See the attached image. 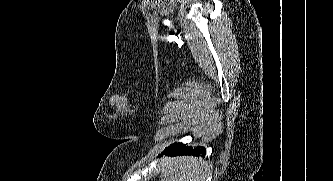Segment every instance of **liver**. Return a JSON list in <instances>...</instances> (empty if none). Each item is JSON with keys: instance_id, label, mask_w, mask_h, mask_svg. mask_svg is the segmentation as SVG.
<instances>
[{"instance_id": "1", "label": "liver", "mask_w": 333, "mask_h": 181, "mask_svg": "<svg viewBox=\"0 0 333 181\" xmlns=\"http://www.w3.org/2000/svg\"><path fill=\"white\" fill-rule=\"evenodd\" d=\"M160 168L167 181H205L208 164L192 156L164 157Z\"/></svg>"}]
</instances>
